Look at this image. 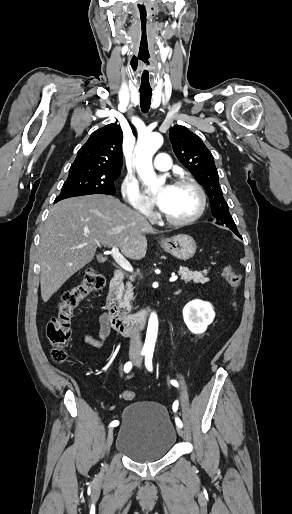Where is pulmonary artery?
<instances>
[{
	"mask_svg": "<svg viewBox=\"0 0 292 514\" xmlns=\"http://www.w3.org/2000/svg\"><path fill=\"white\" fill-rule=\"evenodd\" d=\"M144 152V150H143ZM171 154L168 151L159 150L155 153V158L159 161H156L153 164V169L156 172H169L172 168V159L170 158Z\"/></svg>",
	"mask_w": 292,
	"mask_h": 514,
	"instance_id": "pulmonary-artery-1",
	"label": "pulmonary artery"
}]
</instances>
